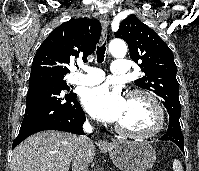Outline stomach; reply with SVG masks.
<instances>
[{"label":"stomach","instance_id":"0dacf381","mask_svg":"<svg viewBox=\"0 0 199 171\" xmlns=\"http://www.w3.org/2000/svg\"><path fill=\"white\" fill-rule=\"evenodd\" d=\"M103 149L121 171H148L156 160L155 150L144 140L118 139Z\"/></svg>","mask_w":199,"mask_h":171}]
</instances>
